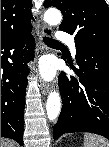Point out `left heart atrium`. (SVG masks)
Returning a JSON list of instances; mask_svg holds the SVG:
<instances>
[{"instance_id": "1", "label": "left heart atrium", "mask_w": 109, "mask_h": 147, "mask_svg": "<svg viewBox=\"0 0 109 147\" xmlns=\"http://www.w3.org/2000/svg\"><path fill=\"white\" fill-rule=\"evenodd\" d=\"M41 73H42V76L46 79L53 78L55 71H54V67L52 63H50L49 61H45L42 64Z\"/></svg>"}]
</instances>
